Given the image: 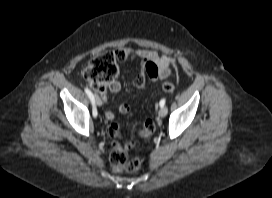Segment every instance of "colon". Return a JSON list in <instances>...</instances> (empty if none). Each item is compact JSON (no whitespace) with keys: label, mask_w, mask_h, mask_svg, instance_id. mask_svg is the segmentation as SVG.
<instances>
[{"label":"colon","mask_w":272,"mask_h":198,"mask_svg":"<svg viewBox=\"0 0 272 198\" xmlns=\"http://www.w3.org/2000/svg\"><path fill=\"white\" fill-rule=\"evenodd\" d=\"M122 56L117 51H105L95 56L84 71L87 82L99 92L105 93L109 90L110 85L115 81L118 72V61ZM158 75V68L152 61L144 64L143 74L136 78V84L142 87L145 78H154ZM163 89L166 92L174 90L172 82H165ZM108 134L112 138V149L110 152V164L116 172L134 173L141 169L143 160L139 156H130L128 150L137 145L135 140L121 141L119 139V125L116 122L108 126ZM155 131L153 120H147L143 127L138 131L140 140L147 141L151 139Z\"/></svg>","instance_id":"1"}]
</instances>
